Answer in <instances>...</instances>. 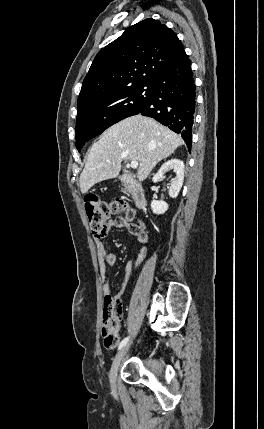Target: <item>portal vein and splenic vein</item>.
<instances>
[{"instance_id":"obj_1","label":"portal vein and splenic vein","mask_w":264,"mask_h":429,"mask_svg":"<svg viewBox=\"0 0 264 429\" xmlns=\"http://www.w3.org/2000/svg\"><path fill=\"white\" fill-rule=\"evenodd\" d=\"M138 165H139V164H138V162H137V161H132V162H131V164H130V166H131V168H132V169H137V168H138Z\"/></svg>"}]
</instances>
